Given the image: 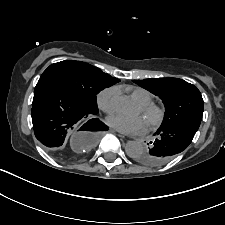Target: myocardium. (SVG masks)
Wrapping results in <instances>:
<instances>
[{"label": "myocardium", "instance_id": "1", "mask_svg": "<svg viewBox=\"0 0 225 225\" xmlns=\"http://www.w3.org/2000/svg\"><path fill=\"white\" fill-rule=\"evenodd\" d=\"M142 114L147 119L150 127L156 128L160 126L165 119V109L155 103H150L146 105H139Z\"/></svg>", "mask_w": 225, "mask_h": 225}]
</instances>
